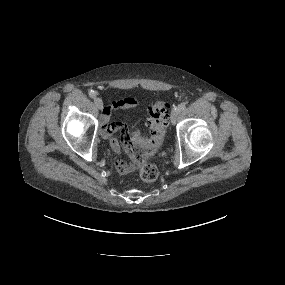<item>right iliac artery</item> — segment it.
Returning a JSON list of instances; mask_svg holds the SVG:
<instances>
[{
	"instance_id": "obj_1",
	"label": "right iliac artery",
	"mask_w": 285,
	"mask_h": 285,
	"mask_svg": "<svg viewBox=\"0 0 285 285\" xmlns=\"http://www.w3.org/2000/svg\"><path fill=\"white\" fill-rule=\"evenodd\" d=\"M89 96H90L91 98L96 97V92H95L94 90H90V91H89Z\"/></svg>"
}]
</instances>
